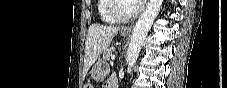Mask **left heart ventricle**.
<instances>
[{
    "instance_id": "b2bd125f",
    "label": "left heart ventricle",
    "mask_w": 227,
    "mask_h": 88,
    "mask_svg": "<svg viewBox=\"0 0 227 88\" xmlns=\"http://www.w3.org/2000/svg\"><path fill=\"white\" fill-rule=\"evenodd\" d=\"M135 6L133 1H120L117 3V10L122 15H127L134 11Z\"/></svg>"
}]
</instances>
